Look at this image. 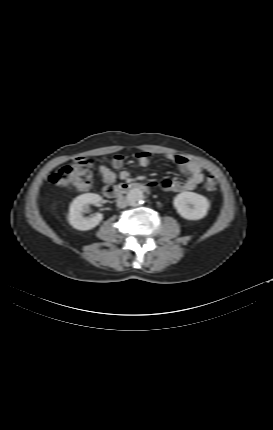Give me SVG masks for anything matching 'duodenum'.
Returning <instances> with one entry per match:
<instances>
[{
    "label": "duodenum",
    "instance_id": "1",
    "mask_svg": "<svg viewBox=\"0 0 273 430\" xmlns=\"http://www.w3.org/2000/svg\"><path fill=\"white\" fill-rule=\"evenodd\" d=\"M149 189V185L137 182L123 183L120 185L107 184L103 190V193L107 198H117L133 190L147 192Z\"/></svg>",
    "mask_w": 273,
    "mask_h": 430
}]
</instances>
